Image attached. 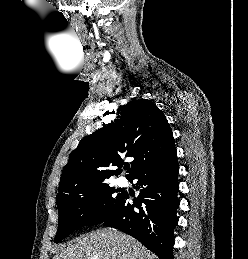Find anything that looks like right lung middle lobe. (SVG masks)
Listing matches in <instances>:
<instances>
[{
	"mask_svg": "<svg viewBox=\"0 0 248 259\" xmlns=\"http://www.w3.org/2000/svg\"><path fill=\"white\" fill-rule=\"evenodd\" d=\"M115 192L119 191L106 181L76 187L56 199L59 223L54 243H59L77 228L97 225L111 218L126 193Z\"/></svg>",
	"mask_w": 248,
	"mask_h": 259,
	"instance_id": "dd1d6c3e",
	"label": "right lung middle lobe"
}]
</instances>
